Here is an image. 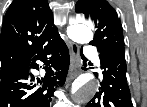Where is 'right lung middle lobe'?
Masks as SVG:
<instances>
[{
	"instance_id": "dd1d6c3e",
	"label": "right lung middle lobe",
	"mask_w": 147,
	"mask_h": 107,
	"mask_svg": "<svg viewBox=\"0 0 147 107\" xmlns=\"http://www.w3.org/2000/svg\"><path fill=\"white\" fill-rule=\"evenodd\" d=\"M6 70H8V69L1 70V71H0V75H1L3 72H5Z\"/></svg>"
}]
</instances>
